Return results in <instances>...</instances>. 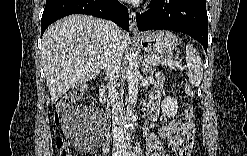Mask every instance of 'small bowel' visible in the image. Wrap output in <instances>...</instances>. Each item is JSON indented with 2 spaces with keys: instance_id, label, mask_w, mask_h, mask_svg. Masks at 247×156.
Listing matches in <instances>:
<instances>
[{
  "instance_id": "c3829d8e",
  "label": "small bowel",
  "mask_w": 247,
  "mask_h": 156,
  "mask_svg": "<svg viewBox=\"0 0 247 156\" xmlns=\"http://www.w3.org/2000/svg\"><path fill=\"white\" fill-rule=\"evenodd\" d=\"M160 98V91L157 88L150 96L148 103V113L152 120H157L158 110L156 103ZM159 136L163 138L172 155H189L192 151L195 139V127L191 122L186 124L181 118L173 119L167 123H162L159 127Z\"/></svg>"
}]
</instances>
